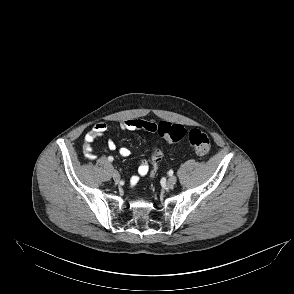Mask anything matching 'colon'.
I'll use <instances>...</instances> for the list:
<instances>
[{
    "mask_svg": "<svg viewBox=\"0 0 294 294\" xmlns=\"http://www.w3.org/2000/svg\"><path fill=\"white\" fill-rule=\"evenodd\" d=\"M144 130L150 133H157L160 137L172 143L187 138L191 148L199 156H206L210 152L211 145L209 137L199 129L187 130L181 125L168 122H160L158 124L147 122L144 126ZM158 161L159 153L156 149H153L149 157L152 175L157 172Z\"/></svg>",
    "mask_w": 294,
    "mask_h": 294,
    "instance_id": "1",
    "label": "colon"
}]
</instances>
